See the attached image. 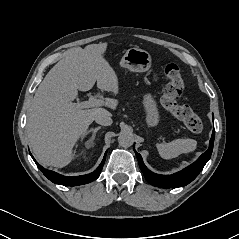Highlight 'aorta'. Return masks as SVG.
I'll list each match as a JSON object with an SVG mask.
<instances>
[{
  "label": "aorta",
  "instance_id": "aorta-1",
  "mask_svg": "<svg viewBox=\"0 0 239 239\" xmlns=\"http://www.w3.org/2000/svg\"><path fill=\"white\" fill-rule=\"evenodd\" d=\"M118 143L124 148H128L134 143V136L131 132L123 131L118 136Z\"/></svg>",
  "mask_w": 239,
  "mask_h": 239
}]
</instances>
